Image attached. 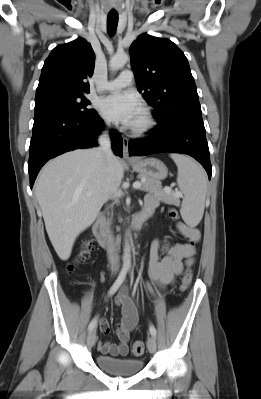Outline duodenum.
<instances>
[{"label":"duodenum","mask_w":261,"mask_h":399,"mask_svg":"<svg viewBox=\"0 0 261 399\" xmlns=\"http://www.w3.org/2000/svg\"><path fill=\"white\" fill-rule=\"evenodd\" d=\"M153 210L143 209L132 220L131 228L134 231L141 229L142 225L152 215ZM93 234L102 247H107L110 241V235L106 227V222L103 217H99L93 225Z\"/></svg>","instance_id":"obj_1"}]
</instances>
